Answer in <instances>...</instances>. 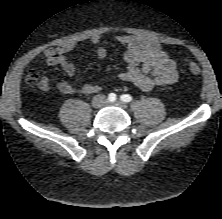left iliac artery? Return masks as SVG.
Returning a JSON list of instances; mask_svg holds the SVG:
<instances>
[{"mask_svg": "<svg viewBox=\"0 0 222 219\" xmlns=\"http://www.w3.org/2000/svg\"><path fill=\"white\" fill-rule=\"evenodd\" d=\"M120 100L123 102H130L132 97L129 94H123L120 96Z\"/></svg>", "mask_w": 222, "mask_h": 219, "instance_id": "obj_1", "label": "left iliac artery"}]
</instances>
